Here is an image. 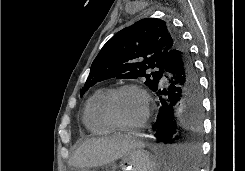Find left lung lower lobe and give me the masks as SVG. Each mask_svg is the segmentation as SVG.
I'll return each instance as SVG.
<instances>
[{
  "mask_svg": "<svg viewBox=\"0 0 245 171\" xmlns=\"http://www.w3.org/2000/svg\"><path fill=\"white\" fill-rule=\"evenodd\" d=\"M162 80L167 88L162 89L159 84L155 91L165 97H160L154 136L159 143L174 145L172 153L176 162H181V167H196L197 157H181L199 156L198 141L193 138L184 141L181 127L198 129L202 110L198 74L185 43L169 54Z\"/></svg>",
  "mask_w": 245,
  "mask_h": 171,
  "instance_id": "left-lung-lower-lobe-1",
  "label": "left lung lower lobe"
}]
</instances>
